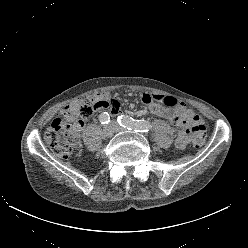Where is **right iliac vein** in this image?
<instances>
[{"instance_id":"obj_1","label":"right iliac vein","mask_w":248,"mask_h":248,"mask_svg":"<svg viewBox=\"0 0 248 248\" xmlns=\"http://www.w3.org/2000/svg\"><path fill=\"white\" fill-rule=\"evenodd\" d=\"M115 133V128L113 125L109 124V125H106L104 128H103V135L105 137H112L113 134Z\"/></svg>"}]
</instances>
